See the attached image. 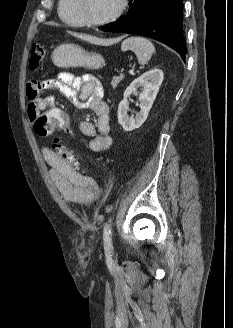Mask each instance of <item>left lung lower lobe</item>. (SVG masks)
I'll list each match as a JSON object with an SVG mask.
<instances>
[{
    "mask_svg": "<svg viewBox=\"0 0 233 328\" xmlns=\"http://www.w3.org/2000/svg\"><path fill=\"white\" fill-rule=\"evenodd\" d=\"M127 14L99 27L102 31L139 34L176 50L185 61L182 0H130Z\"/></svg>",
    "mask_w": 233,
    "mask_h": 328,
    "instance_id": "0a47b994",
    "label": "left lung lower lobe"
}]
</instances>
